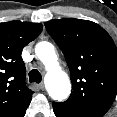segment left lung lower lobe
I'll return each instance as SVG.
<instances>
[{"mask_svg": "<svg viewBox=\"0 0 117 117\" xmlns=\"http://www.w3.org/2000/svg\"><path fill=\"white\" fill-rule=\"evenodd\" d=\"M54 113L57 117H89L80 113H76L72 110L66 109L57 103L53 102Z\"/></svg>", "mask_w": 117, "mask_h": 117, "instance_id": "obj_1", "label": "left lung lower lobe"}]
</instances>
